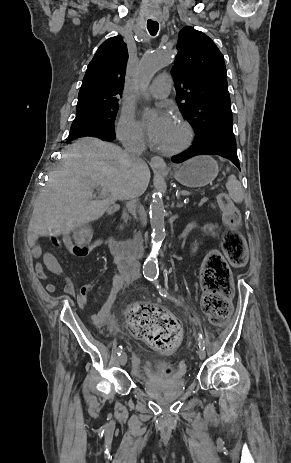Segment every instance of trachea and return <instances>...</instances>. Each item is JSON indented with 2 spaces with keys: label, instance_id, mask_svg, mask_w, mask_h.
I'll list each match as a JSON object with an SVG mask.
<instances>
[{
  "label": "trachea",
  "instance_id": "3493384b",
  "mask_svg": "<svg viewBox=\"0 0 291 463\" xmlns=\"http://www.w3.org/2000/svg\"><path fill=\"white\" fill-rule=\"evenodd\" d=\"M147 29L152 36H155L159 29V24L154 21L147 22Z\"/></svg>",
  "mask_w": 291,
  "mask_h": 463
}]
</instances>
